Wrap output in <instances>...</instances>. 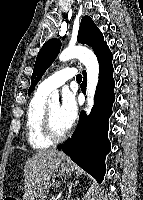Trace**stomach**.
Listing matches in <instances>:
<instances>
[{
	"label": "stomach",
	"mask_w": 143,
	"mask_h": 200,
	"mask_svg": "<svg viewBox=\"0 0 143 200\" xmlns=\"http://www.w3.org/2000/svg\"><path fill=\"white\" fill-rule=\"evenodd\" d=\"M60 174L63 177H69L71 175V169L67 165H62L60 169Z\"/></svg>",
	"instance_id": "1"
}]
</instances>
